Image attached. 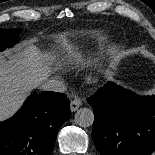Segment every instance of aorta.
Instances as JSON below:
<instances>
[{"instance_id":"obj_1","label":"aorta","mask_w":155,"mask_h":155,"mask_svg":"<svg viewBox=\"0 0 155 155\" xmlns=\"http://www.w3.org/2000/svg\"><path fill=\"white\" fill-rule=\"evenodd\" d=\"M75 122L80 127H89L94 122V114L90 108H80L75 114Z\"/></svg>"}]
</instances>
